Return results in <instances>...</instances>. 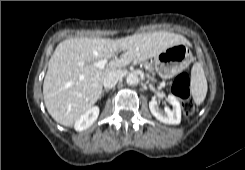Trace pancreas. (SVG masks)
I'll list each match as a JSON object with an SVG mask.
<instances>
[{
	"label": "pancreas",
	"mask_w": 245,
	"mask_h": 170,
	"mask_svg": "<svg viewBox=\"0 0 245 170\" xmlns=\"http://www.w3.org/2000/svg\"><path fill=\"white\" fill-rule=\"evenodd\" d=\"M142 64L144 65V67L149 71V72H153V67L147 63V62H142Z\"/></svg>",
	"instance_id": "pancreas-1"
}]
</instances>
